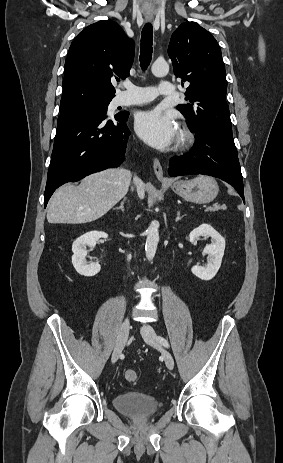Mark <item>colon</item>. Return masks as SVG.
I'll return each mask as SVG.
<instances>
[{
	"label": "colon",
	"instance_id": "colon-1",
	"mask_svg": "<svg viewBox=\"0 0 283 463\" xmlns=\"http://www.w3.org/2000/svg\"><path fill=\"white\" fill-rule=\"evenodd\" d=\"M125 380L129 383H136L139 379V375L134 370H128L124 374Z\"/></svg>",
	"mask_w": 283,
	"mask_h": 463
}]
</instances>
